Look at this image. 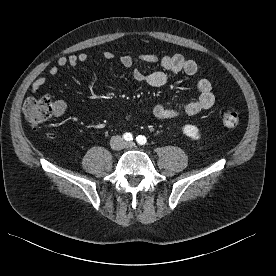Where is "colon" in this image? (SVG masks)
<instances>
[{
  "instance_id": "5ec220e1",
  "label": "colon",
  "mask_w": 276,
  "mask_h": 276,
  "mask_svg": "<svg viewBox=\"0 0 276 276\" xmlns=\"http://www.w3.org/2000/svg\"><path fill=\"white\" fill-rule=\"evenodd\" d=\"M54 105L46 96L27 98L23 104V115L32 126H40L52 117ZM222 122L228 128L239 125L240 115L232 108H226L222 113Z\"/></svg>"
}]
</instances>
